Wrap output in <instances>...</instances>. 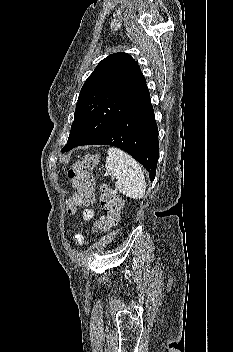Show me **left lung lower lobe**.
<instances>
[{"mask_svg":"<svg viewBox=\"0 0 233 352\" xmlns=\"http://www.w3.org/2000/svg\"><path fill=\"white\" fill-rule=\"evenodd\" d=\"M112 145L129 153L154 180L159 157L157 124L150 97L124 114L104 134L86 145Z\"/></svg>","mask_w":233,"mask_h":352,"instance_id":"obj_1","label":"left lung lower lobe"}]
</instances>
